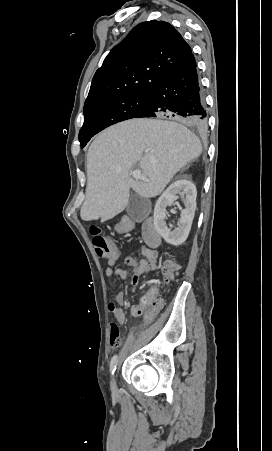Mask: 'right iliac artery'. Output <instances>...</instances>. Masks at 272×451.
<instances>
[{
	"label": "right iliac artery",
	"mask_w": 272,
	"mask_h": 451,
	"mask_svg": "<svg viewBox=\"0 0 272 451\" xmlns=\"http://www.w3.org/2000/svg\"><path fill=\"white\" fill-rule=\"evenodd\" d=\"M117 362H118V357L117 355H114L111 359V363H110V371L112 374H114L116 367H117Z\"/></svg>",
	"instance_id": "right-iliac-artery-1"
}]
</instances>
